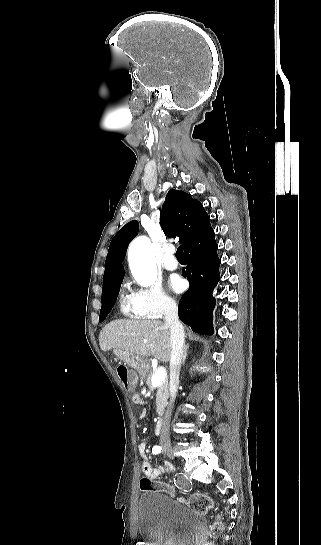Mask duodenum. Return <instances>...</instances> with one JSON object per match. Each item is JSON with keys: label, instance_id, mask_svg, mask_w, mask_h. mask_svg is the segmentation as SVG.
Segmentation results:
<instances>
[{"label": "duodenum", "instance_id": "410a0bca", "mask_svg": "<svg viewBox=\"0 0 321 545\" xmlns=\"http://www.w3.org/2000/svg\"><path fill=\"white\" fill-rule=\"evenodd\" d=\"M163 425H164V419L161 417L158 419L156 428H155V433L157 435H160L162 433Z\"/></svg>", "mask_w": 321, "mask_h": 545}]
</instances>
